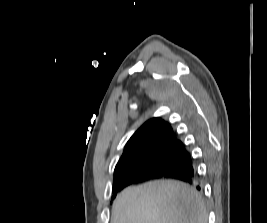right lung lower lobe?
Here are the masks:
<instances>
[{"instance_id": "obj_1", "label": "right lung lower lobe", "mask_w": 267, "mask_h": 223, "mask_svg": "<svg viewBox=\"0 0 267 223\" xmlns=\"http://www.w3.org/2000/svg\"><path fill=\"white\" fill-rule=\"evenodd\" d=\"M163 177L173 178L191 185H196L198 183V179L190 153H187L178 164L167 172L161 173L151 170H137L115 177L113 184V192L115 193L114 196H116L118 191L130 184ZM197 188L200 189L199 186H197Z\"/></svg>"}]
</instances>
